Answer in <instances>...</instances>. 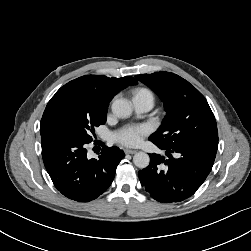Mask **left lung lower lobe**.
<instances>
[{
  "label": "left lung lower lobe",
  "mask_w": 251,
  "mask_h": 251,
  "mask_svg": "<svg viewBox=\"0 0 251 251\" xmlns=\"http://www.w3.org/2000/svg\"><path fill=\"white\" fill-rule=\"evenodd\" d=\"M154 144L166 150L168 159L150 154L149 166L138 173L141 185L159 202H180L192 196L212 169L218 142L193 141L171 148Z\"/></svg>",
  "instance_id": "obj_1"
}]
</instances>
